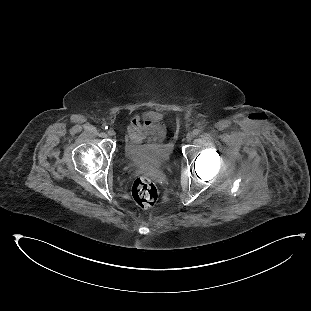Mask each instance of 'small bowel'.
Instances as JSON below:
<instances>
[{
	"label": "small bowel",
	"instance_id": "obj_1",
	"mask_svg": "<svg viewBox=\"0 0 311 311\" xmlns=\"http://www.w3.org/2000/svg\"><path fill=\"white\" fill-rule=\"evenodd\" d=\"M128 133L133 145L147 139L159 141L165 136V125L153 112L137 113L130 120Z\"/></svg>",
	"mask_w": 311,
	"mask_h": 311
}]
</instances>
